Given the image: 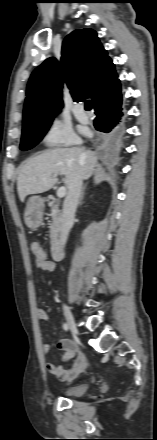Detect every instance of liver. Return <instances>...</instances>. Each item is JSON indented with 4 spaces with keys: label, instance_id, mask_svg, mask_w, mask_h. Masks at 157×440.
Returning a JSON list of instances; mask_svg holds the SVG:
<instances>
[{
    "label": "liver",
    "instance_id": "1",
    "mask_svg": "<svg viewBox=\"0 0 157 440\" xmlns=\"http://www.w3.org/2000/svg\"><path fill=\"white\" fill-rule=\"evenodd\" d=\"M97 164V154L85 148H55L28 159L19 170L17 191L23 202L27 195L44 193L64 175V184L71 185L76 175L89 179Z\"/></svg>",
    "mask_w": 157,
    "mask_h": 440
}]
</instances>
